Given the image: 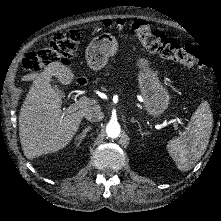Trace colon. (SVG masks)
Returning <instances> with one entry per match:
<instances>
[{"label":"colon","instance_id":"5ec220e1","mask_svg":"<svg viewBox=\"0 0 221 221\" xmlns=\"http://www.w3.org/2000/svg\"><path fill=\"white\" fill-rule=\"evenodd\" d=\"M103 26L115 31L130 28L148 52L187 66H194L200 71L206 70V61L198 48L181 45L163 32L152 29L142 20L107 19L103 21ZM80 40L81 37L77 31L57 33L48 47L27 53L22 59V68L25 69V73H34L43 67L68 61L74 56Z\"/></svg>","mask_w":221,"mask_h":221}]
</instances>
